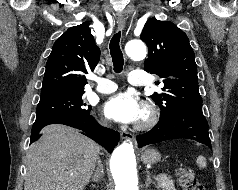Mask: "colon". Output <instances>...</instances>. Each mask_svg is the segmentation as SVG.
<instances>
[{"label": "colon", "instance_id": "obj_1", "mask_svg": "<svg viewBox=\"0 0 238 190\" xmlns=\"http://www.w3.org/2000/svg\"><path fill=\"white\" fill-rule=\"evenodd\" d=\"M175 173L180 186L184 190H205L204 186L197 180L190 169L179 167Z\"/></svg>", "mask_w": 238, "mask_h": 190}]
</instances>
